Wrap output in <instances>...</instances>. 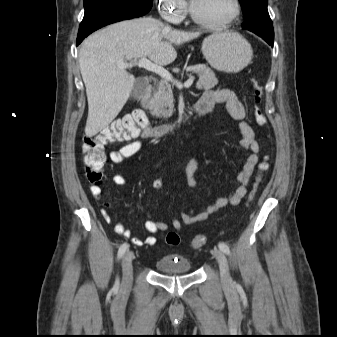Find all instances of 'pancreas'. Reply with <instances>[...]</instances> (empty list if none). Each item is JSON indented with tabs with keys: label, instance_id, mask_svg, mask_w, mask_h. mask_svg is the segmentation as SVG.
I'll use <instances>...</instances> for the list:
<instances>
[{
	"label": "pancreas",
	"instance_id": "cf45deb5",
	"mask_svg": "<svg viewBox=\"0 0 337 337\" xmlns=\"http://www.w3.org/2000/svg\"><path fill=\"white\" fill-rule=\"evenodd\" d=\"M192 69L199 75V80L196 84L197 89L209 90L217 85L218 80L212 69L208 66L196 65ZM173 102L171 84L167 80H161L153 89V97L150 104L152 114L164 119L172 116L174 111Z\"/></svg>",
	"mask_w": 337,
	"mask_h": 337
}]
</instances>
